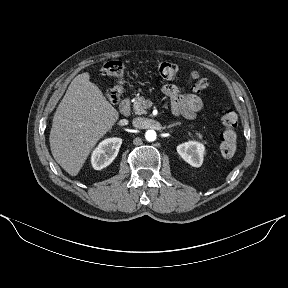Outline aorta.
Masks as SVG:
<instances>
[{"label": "aorta", "mask_w": 288, "mask_h": 288, "mask_svg": "<svg viewBox=\"0 0 288 288\" xmlns=\"http://www.w3.org/2000/svg\"><path fill=\"white\" fill-rule=\"evenodd\" d=\"M156 132L154 130H147L145 133V138L147 141L152 142L156 139Z\"/></svg>", "instance_id": "762f6f07"}]
</instances>
